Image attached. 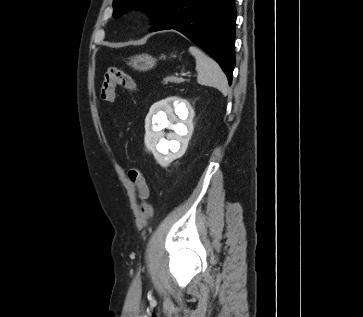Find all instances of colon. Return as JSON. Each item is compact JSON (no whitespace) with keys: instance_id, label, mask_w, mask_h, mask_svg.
<instances>
[{"instance_id":"obj_1","label":"colon","mask_w":363,"mask_h":317,"mask_svg":"<svg viewBox=\"0 0 363 317\" xmlns=\"http://www.w3.org/2000/svg\"><path fill=\"white\" fill-rule=\"evenodd\" d=\"M119 85L127 91L135 90L133 78L123 70L112 67L104 74L100 88V98L105 102H113L115 99V87ZM128 176L132 184L136 187L140 203V222L145 224L152 217L153 209L148 202L149 189L142 170L138 167H131Z\"/></svg>"}]
</instances>
